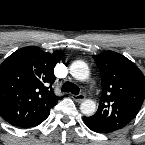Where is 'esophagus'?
Returning <instances> with one entry per match:
<instances>
[{
	"mask_svg": "<svg viewBox=\"0 0 145 145\" xmlns=\"http://www.w3.org/2000/svg\"><path fill=\"white\" fill-rule=\"evenodd\" d=\"M72 97L76 102H82L85 100L84 94H77V95H73Z\"/></svg>",
	"mask_w": 145,
	"mask_h": 145,
	"instance_id": "34e87169",
	"label": "esophagus"
}]
</instances>
